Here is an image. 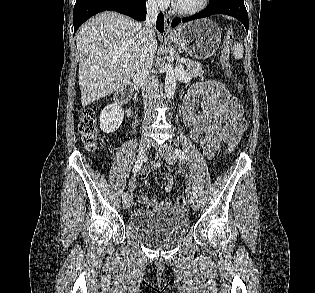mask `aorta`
I'll return each instance as SVG.
<instances>
[{
	"mask_svg": "<svg viewBox=\"0 0 315 293\" xmlns=\"http://www.w3.org/2000/svg\"><path fill=\"white\" fill-rule=\"evenodd\" d=\"M166 77H165V96L170 99L174 96L176 90V77L174 74L173 65L168 62L164 67Z\"/></svg>",
	"mask_w": 315,
	"mask_h": 293,
	"instance_id": "obj_1",
	"label": "aorta"
}]
</instances>
